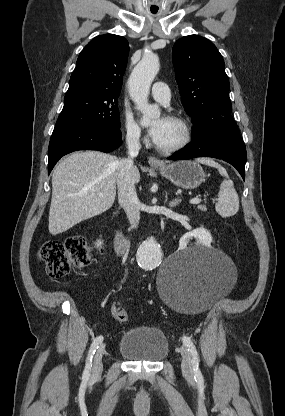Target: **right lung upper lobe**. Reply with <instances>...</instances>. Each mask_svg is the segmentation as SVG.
<instances>
[{"instance_id":"cb5924a9","label":"right lung upper lobe","mask_w":285,"mask_h":416,"mask_svg":"<svg viewBox=\"0 0 285 416\" xmlns=\"http://www.w3.org/2000/svg\"><path fill=\"white\" fill-rule=\"evenodd\" d=\"M129 54L128 41L118 35L95 37L80 52L66 95L117 97Z\"/></svg>"}]
</instances>
